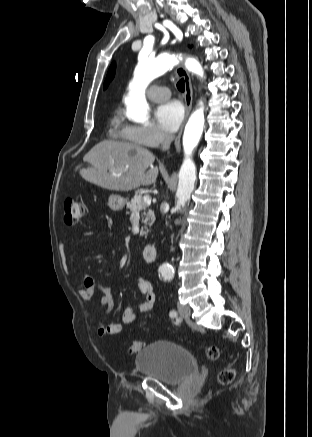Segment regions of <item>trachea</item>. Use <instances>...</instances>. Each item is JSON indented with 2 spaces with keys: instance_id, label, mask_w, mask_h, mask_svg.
<instances>
[{
  "instance_id": "1",
  "label": "trachea",
  "mask_w": 312,
  "mask_h": 437,
  "mask_svg": "<svg viewBox=\"0 0 312 437\" xmlns=\"http://www.w3.org/2000/svg\"><path fill=\"white\" fill-rule=\"evenodd\" d=\"M177 88L179 91H182V92L184 91L185 86H184V79L183 78L178 81Z\"/></svg>"
}]
</instances>
